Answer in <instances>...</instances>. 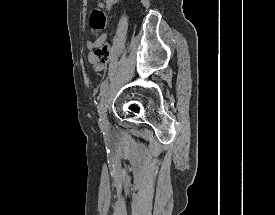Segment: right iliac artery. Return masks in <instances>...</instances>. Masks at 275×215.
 I'll list each match as a JSON object with an SVG mask.
<instances>
[{"mask_svg": "<svg viewBox=\"0 0 275 215\" xmlns=\"http://www.w3.org/2000/svg\"><path fill=\"white\" fill-rule=\"evenodd\" d=\"M107 86H108V81L105 80V81L101 84V86H100V94H99L100 97H102L103 94L105 93V91H106V89H107ZM100 126H101L102 128L104 127V125L102 124V122L100 123Z\"/></svg>", "mask_w": 275, "mask_h": 215, "instance_id": "obj_1", "label": "right iliac artery"}]
</instances>
